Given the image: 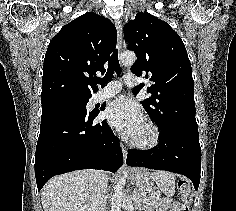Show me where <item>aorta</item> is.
Returning a JSON list of instances; mask_svg holds the SVG:
<instances>
[{
    "instance_id": "762f6f07",
    "label": "aorta",
    "mask_w": 236,
    "mask_h": 211,
    "mask_svg": "<svg viewBox=\"0 0 236 211\" xmlns=\"http://www.w3.org/2000/svg\"><path fill=\"white\" fill-rule=\"evenodd\" d=\"M120 60L124 65H132L136 61V55L132 51L123 52L120 55ZM125 184L124 177H120L115 186L114 193L111 198V211H120L123 204V187Z\"/></svg>"
}]
</instances>
